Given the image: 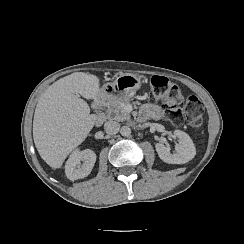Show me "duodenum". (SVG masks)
Instances as JSON below:
<instances>
[{"instance_id": "1", "label": "duodenum", "mask_w": 244, "mask_h": 244, "mask_svg": "<svg viewBox=\"0 0 244 244\" xmlns=\"http://www.w3.org/2000/svg\"><path fill=\"white\" fill-rule=\"evenodd\" d=\"M113 94H107V95H100L96 98L93 106L96 111H101L102 106L106 104L110 98L112 97Z\"/></svg>"}]
</instances>
